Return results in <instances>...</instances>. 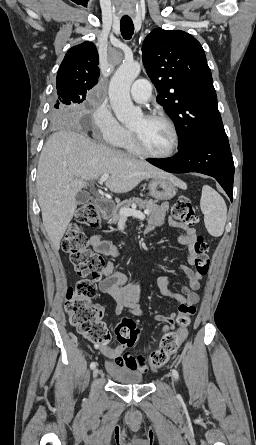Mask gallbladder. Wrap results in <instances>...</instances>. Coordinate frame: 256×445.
<instances>
[{
	"label": "gallbladder",
	"instance_id": "bac80fb5",
	"mask_svg": "<svg viewBox=\"0 0 256 445\" xmlns=\"http://www.w3.org/2000/svg\"><path fill=\"white\" fill-rule=\"evenodd\" d=\"M91 199L90 194L86 191H80L76 195V201L78 204H84Z\"/></svg>",
	"mask_w": 256,
	"mask_h": 445
}]
</instances>
